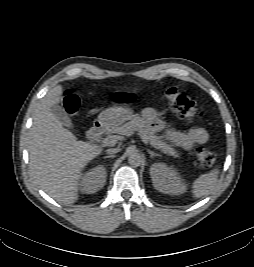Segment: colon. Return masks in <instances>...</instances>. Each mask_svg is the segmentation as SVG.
I'll return each instance as SVG.
<instances>
[{
    "instance_id": "1",
    "label": "colon",
    "mask_w": 254,
    "mask_h": 267,
    "mask_svg": "<svg viewBox=\"0 0 254 267\" xmlns=\"http://www.w3.org/2000/svg\"><path fill=\"white\" fill-rule=\"evenodd\" d=\"M165 97L171 111L179 117L192 118L199 114L196 102L180 89L176 87L168 88ZM114 100L118 103H130L134 100V95L127 92H118L114 95ZM63 104L69 114H75L79 110L80 100L71 91H66ZM195 159L197 166L207 168L215 163L216 157L212 151L198 148L195 151Z\"/></svg>"
}]
</instances>
